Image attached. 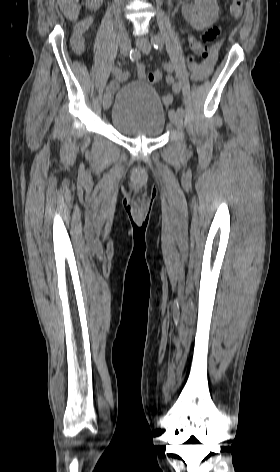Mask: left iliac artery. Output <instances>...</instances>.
Masks as SVG:
<instances>
[{
	"instance_id": "obj_1",
	"label": "left iliac artery",
	"mask_w": 280,
	"mask_h": 472,
	"mask_svg": "<svg viewBox=\"0 0 280 472\" xmlns=\"http://www.w3.org/2000/svg\"><path fill=\"white\" fill-rule=\"evenodd\" d=\"M151 42H152L154 48H156V49L161 48L163 46V40L159 36L152 37ZM164 69L167 72L172 73L174 71V66L171 63H165L164 64ZM171 83H172L173 92L178 94L180 92V84L178 82H174L173 80H172ZM177 112H179L181 115L184 114L183 107L179 106L177 108Z\"/></svg>"
}]
</instances>
